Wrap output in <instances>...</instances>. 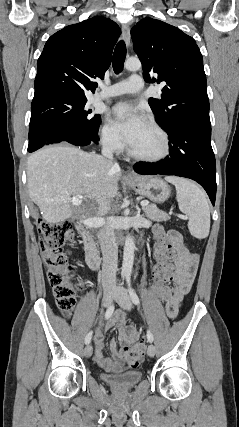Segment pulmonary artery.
<instances>
[{"label":"pulmonary artery","mask_w":239,"mask_h":427,"mask_svg":"<svg viewBox=\"0 0 239 427\" xmlns=\"http://www.w3.org/2000/svg\"><path fill=\"white\" fill-rule=\"evenodd\" d=\"M144 88V81L139 75H132L127 80L118 82L109 88H104L95 98L106 99L123 94H134Z\"/></svg>","instance_id":"pulmonary-artery-1"}]
</instances>
